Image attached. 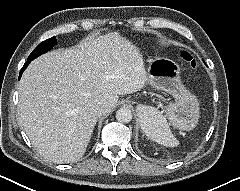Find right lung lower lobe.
Wrapping results in <instances>:
<instances>
[{"instance_id":"1","label":"right lung lower lobe","mask_w":240,"mask_h":191,"mask_svg":"<svg viewBox=\"0 0 240 191\" xmlns=\"http://www.w3.org/2000/svg\"><path fill=\"white\" fill-rule=\"evenodd\" d=\"M29 63H30V62H26V63L24 64V66L22 67V69H21V71H20L19 78L21 77L23 71L26 69V67L28 66Z\"/></svg>"}]
</instances>
